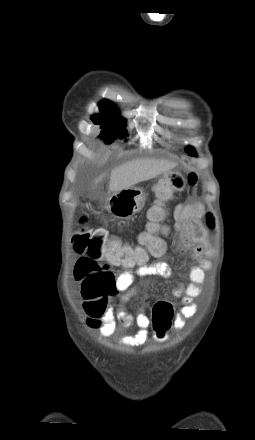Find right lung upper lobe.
<instances>
[{"label":"right lung upper lobe","mask_w":255,"mask_h":440,"mask_svg":"<svg viewBox=\"0 0 255 440\" xmlns=\"http://www.w3.org/2000/svg\"><path fill=\"white\" fill-rule=\"evenodd\" d=\"M100 106H102V107H111V108H117L118 107L116 104H114L113 102L108 101V100L103 101L100 104Z\"/></svg>","instance_id":"right-lung-upper-lobe-1"}]
</instances>
